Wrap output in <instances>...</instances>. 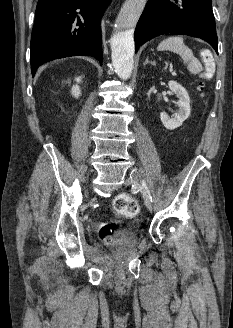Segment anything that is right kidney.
I'll list each match as a JSON object with an SVG mask.
<instances>
[{
	"label": "right kidney",
	"mask_w": 233,
	"mask_h": 328,
	"mask_svg": "<svg viewBox=\"0 0 233 328\" xmlns=\"http://www.w3.org/2000/svg\"><path fill=\"white\" fill-rule=\"evenodd\" d=\"M75 81L77 82V83H80L81 82V77H77V78H75ZM72 95L74 96V97H76V98H78L79 96H80V88H79V86L76 84V85H74L73 87H72Z\"/></svg>",
	"instance_id": "right-kidney-1"
}]
</instances>
